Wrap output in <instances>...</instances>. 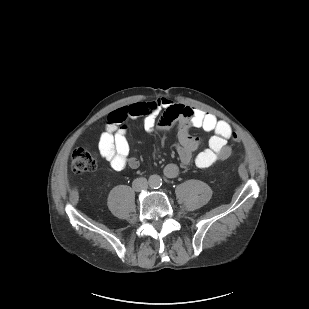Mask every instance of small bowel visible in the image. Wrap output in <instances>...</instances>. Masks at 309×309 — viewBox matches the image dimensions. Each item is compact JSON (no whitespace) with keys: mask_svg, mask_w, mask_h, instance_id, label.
I'll list each match as a JSON object with an SVG mask.
<instances>
[{"mask_svg":"<svg viewBox=\"0 0 309 309\" xmlns=\"http://www.w3.org/2000/svg\"><path fill=\"white\" fill-rule=\"evenodd\" d=\"M140 117L143 118V126L148 132L164 131L171 123L178 122L176 149L183 166L194 164L204 169L231 155L228 140L231 138L232 128L226 121L219 120L201 109L177 104L168 98H157L134 102L109 114L98 147L101 156L116 171L126 167L135 169L139 166V160L130 155L126 130L120 126ZM191 126L213 133L209 138L208 148L196 156L193 153L199 146V140L190 134ZM164 174L168 178H175L179 174V168L175 164H168L164 168Z\"/></svg>","mask_w":309,"mask_h":309,"instance_id":"obj_1","label":"small bowel"}]
</instances>
